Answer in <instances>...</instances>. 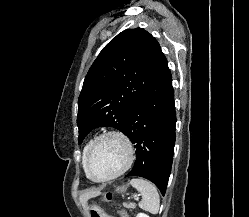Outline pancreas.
<instances>
[{
	"mask_svg": "<svg viewBox=\"0 0 249 217\" xmlns=\"http://www.w3.org/2000/svg\"><path fill=\"white\" fill-rule=\"evenodd\" d=\"M123 206L126 207V208H135L136 207V204L134 203H123Z\"/></svg>",
	"mask_w": 249,
	"mask_h": 217,
	"instance_id": "cf45deb5",
	"label": "pancreas"
}]
</instances>
